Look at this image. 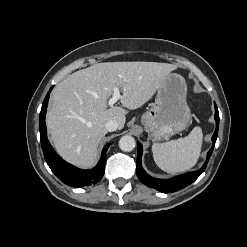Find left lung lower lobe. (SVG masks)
<instances>
[{"instance_id":"0a47b994","label":"left lung lower lobe","mask_w":247,"mask_h":247,"mask_svg":"<svg viewBox=\"0 0 247 247\" xmlns=\"http://www.w3.org/2000/svg\"><path fill=\"white\" fill-rule=\"evenodd\" d=\"M215 121H216V130L212 136L213 145L208 152L207 160L204 163L203 167L199 169L198 171L180 175V176L171 178L169 180H159V179L152 178L144 171L141 165V157H142L143 149H142V145L138 142L137 143L138 156H137V162H136V173L140 181L144 183L145 185L155 188L156 190L162 193L174 192L176 190H179L191 184L193 181H195L205 170L208 160L210 158V155L214 149L216 139H217L218 127H219V114H218V108L216 104H215Z\"/></svg>"}]
</instances>
